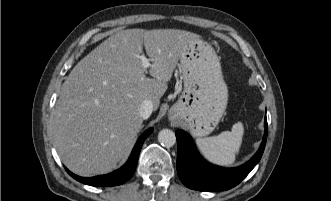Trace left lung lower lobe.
<instances>
[{"label":"left lung lower lobe","instance_id":"0a47b994","mask_svg":"<svg viewBox=\"0 0 331 201\" xmlns=\"http://www.w3.org/2000/svg\"><path fill=\"white\" fill-rule=\"evenodd\" d=\"M264 125L265 132L259 150L247 163L237 168H221L204 161L191 137L182 130L176 131L177 173L182 183L198 191H222L235 187L261 159L267 139L266 119Z\"/></svg>","mask_w":331,"mask_h":201}]
</instances>
